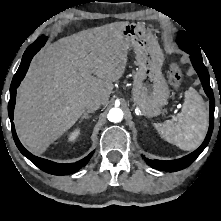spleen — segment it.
I'll return each instance as SVG.
<instances>
[{
	"instance_id": "3e777b00",
	"label": "spleen",
	"mask_w": 221,
	"mask_h": 221,
	"mask_svg": "<svg viewBox=\"0 0 221 221\" xmlns=\"http://www.w3.org/2000/svg\"><path fill=\"white\" fill-rule=\"evenodd\" d=\"M208 127V111L202 97L190 88L185 92L181 112L172 120L155 124L162 138L182 150L196 149L202 143Z\"/></svg>"
}]
</instances>
